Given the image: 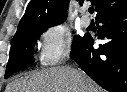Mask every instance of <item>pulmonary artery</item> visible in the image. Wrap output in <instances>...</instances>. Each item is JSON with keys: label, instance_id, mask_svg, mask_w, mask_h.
Returning a JSON list of instances; mask_svg holds the SVG:
<instances>
[{"label": "pulmonary artery", "instance_id": "pulmonary-artery-1", "mask_svg": "<svg viewBox=\"0 0 127 92\" xmlns=\"http://www.w3.org/2000/svg\"><path fill=\"white\" fill-rule=\"evenodd\" d=\"M80 23L83 27H88L91 23V20L87 15H83L80 19Z\"/></svg>", "mask_w": 127, "mask_h": 92}]
</instances>
